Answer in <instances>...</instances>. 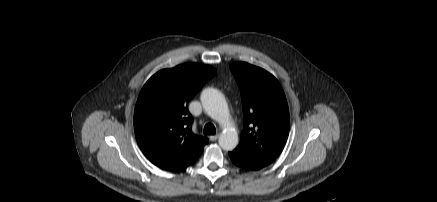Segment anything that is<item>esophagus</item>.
<instances>
[{"label": "esophagus", "instance_id": "esophagus-1", "mask_svg": "<svg viewBox=\"0 0 437 202\" xmlns=\"http://www.w3.org/2000/svg\"><path fill=\"white\" fill-rule=\"evenodd\" d=\"M218 137H219V134L211 135V136L209 137V139H210L211 141H216V140L218 139Z\"/></svg>", "mask_w": 437, "mask_h": 202}]
</instances>
